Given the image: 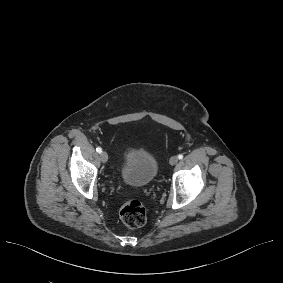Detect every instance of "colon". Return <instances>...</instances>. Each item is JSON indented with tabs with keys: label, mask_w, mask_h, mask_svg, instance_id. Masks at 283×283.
<instances>
[{
	"label": "colon",
	"mask_w": 283,
	"mask_h": 283,
	"mask_svg": "<svg viewBox=\"0 0 283 283\" xmlns=\"http://www.w3.org/2000/svg\"><path fill=\"white\" fill-rule=\"evenodd\" d=\"M120 219L128 228L142 227L147 220L145 206L133 198L126 199L119 210Z\"/></svg>",
	"instance_id": "1"
}]
</instances>
